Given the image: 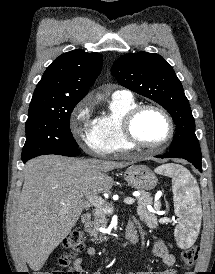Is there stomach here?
Wrapping results in <instances>:
<instances>
[{"mask_svg": "<svg viewBox=\"0 0 215 274\" xmlns=\"http://www.w3.org/2000/svg\"><path fill=\"white\" fill-rule=\"evenodd\" d=\"M124 179L130 186L142 192L154 189L158 182L156 175L145 165L129 167L124 173Z\"/></svg>", "mask_w": 215, "mask_h": 274, "instance_id": "stomach-1", "label": "stomach"}]
</instances>
